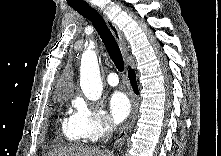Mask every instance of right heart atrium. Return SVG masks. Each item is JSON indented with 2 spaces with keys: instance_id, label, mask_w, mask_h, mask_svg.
Instances as JSON below:
<instances>
[{
  "instance_id": "1",
  "label": "right heart atrium",
  "mask_w": 221,
  "mask_h": 156,
  "mask_svg": "<svg viewBox=\"0 0 221 156\" xmlns=\"http://www.w3.org/2000/svg\"><path fill=\"white\" fill-rule=\"evenodd\" d=\"M73 119L81 139L96 142L111 133L114 129L112 120L96 105L78 99L74 103Z\"/></svg>"
}]
</instances>
